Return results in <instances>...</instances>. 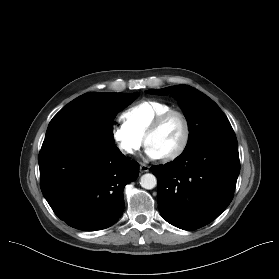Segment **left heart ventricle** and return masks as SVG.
Returning a JSON list of instances; mask_svg holds the SVG:
<instances>
[{
    "instance_id": "obj_1",
    "label": "left heart ventricle",
    "mask_w": 279,
    "mask_h": 279,
    "mask_svg": "<svg viewBox=\"0 0 279 279\" xmlns=\"http://www.w3.org/2000/svg\"><path fill=\"white\" fill-rule=\"evenodd\" d=\"M183 133L184 127L181 119L178 116H171L148 137L147 145L153 147L163 157L179 146Z\"/></svg>"
}]
</instances>
